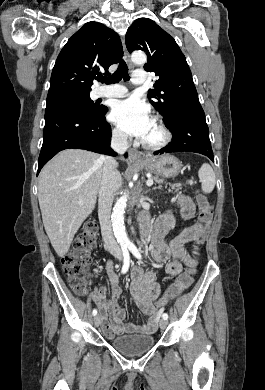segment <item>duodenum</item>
<instances>
[{
    "mask_svg": "<svg viewBox=\"0 0 265 390\" xmlns=\"http://www.w3.org/2000/svg\"><path fill=\"white\" fill-rule=\"evenodd\" d=\"M142 224L145 227L144 236H147L148 235V231H147L148 220H142Z\"/></svg>",
    "mask_w": 265,
    "mask_h": 390,
    "instance_id": "obj_1",
    "label": "duodenum"
}]
</instances>
